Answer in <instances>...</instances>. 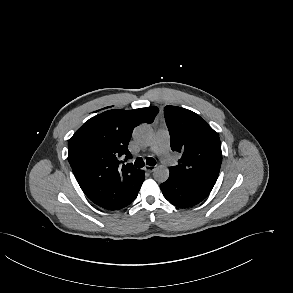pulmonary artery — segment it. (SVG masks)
Here are the masks:
<instances>
[{
	"label": "pulmonary artery",
	"instance_id": "pulmonary-artery-1",
	"mask_svg": "<svg viewBox=\"0 0 293 293\" xmlns=\"http://www.w3.org/2000/svg\"><path fill=\"white\" fill-rule=\"evenodd\" d=\"M169 146V130L166 127H163L157 131L155 139L151 146V151L156 153L163 163L170 164L173 161V157L170 153Z\"/></svg>",
	"mask_w": 293,
	"mask_h": 293
}]
</instances>
